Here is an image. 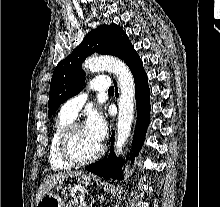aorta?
I'll list each match as a JSON object with an SVG mask.
<instances>
[{"instance_id": "obj_1", "label": "aorta", "mask_w": 220, "mask_h": 207, "mask_svg": "<svg viewBox=\"0 0 220 207\" xmlns=\"http://www.w3.org/2000/svg\"><path fill=\"white\" fill-rule=\"evenodd\" d=\"M83 68L92 72L108 70L118 79L120 96L114 148L115 154L119 155L128 141L134 119L135 83L132 73L122 60L112 56L91 57L85 61Z\"/></svg>"}]
</instances>
